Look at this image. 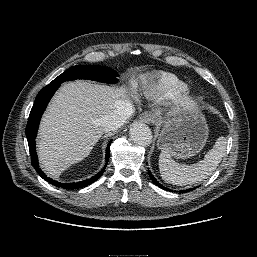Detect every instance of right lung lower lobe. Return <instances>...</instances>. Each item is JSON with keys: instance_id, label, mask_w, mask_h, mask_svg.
Returning a JSON list of instances; mask_svg holds the SVG:
<instances>
[{"instance_id": "right-lung-lower-lobe-1", "label": "right lung lower lobe", "mask_w": 257, "mask_h": 257, "mask_svg": "<svg viewBox=\"0 0 257 257\" xmlns=\"http://www.w3.org/2000/svg\"><path fill=\"white\" fill-rule=\"evenodd\" d=\"M60 84H49L45 86L38 94L35 99L34 105L31 109L28 123L26 126V136L28 140L30 155H31V162L32 166L35 168V170L39 173V175L45 179L47 182L57 186L62 187L64 189H78L85 187L87 185H90L91 183L95 182L97 179H99L105 168L107 167V163L110 157V144L112 142V139L109 141V144L106 148V163L104 165V168L95 176L91 177L90 179L77 182V183H59L55 180H52L51 178L47 177L43 171L38 166V159L36 154V148H35V137L37 134L38 125L40 122V118L49 102L51 97L53 96L54 92L59 88Z\"/></svg>"}]
</instances>
